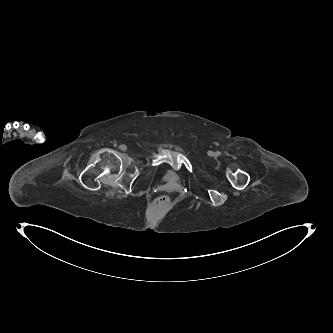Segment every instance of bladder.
<instances>
[{
	"label": "bladder",
	"mask_w": 333,
	"mask_h": 333,
	"mask_svg": "<svg viewBox=\"0 0 333 333\" xmlns=\"http://www.w3.org/2000/svg\"><path fill=\"white\" fill-rule=\"evenodd\" d=\"M162 177L167 185L174 186L181 181L182 174L173 167H166L162 171Z\"/></svg>",
	"instance_id": "31cf9c89"
}]
</instances>
